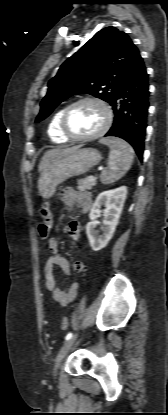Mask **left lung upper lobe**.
<instances>
[{
    "mask_svg": "<svg viewBox=\"0 0 168 415\" xmlns=\"http://www.w3.org/2000/svg\"><path fill=\"white\" fill-rule=\"evenodd\" d=\"M139 56V50L124 32L115 27L98 31L49 81L36 122L75 94L87 93L111 103Z\"/></svg>",
    "mask_w": 168,
    "mask_h": 415,
    "instance_id": "5c2ea615",
    "label": "left lung upper lobe"
}]
</instances>
